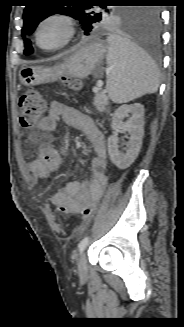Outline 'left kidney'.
<instances>
[{
	"instance_id": "1",
	"label": "left kidney",
	"mask_w": 184,
	"mask_h": 327,
	"mask_svg": "<svg viewBox=\"0 0 184 327\" xmlns=\"http://www.w3.org/2000/svg\"><path fill=\"white\" fill-rule=\"evenodd\" d=\"M131 114L128 121L123 122L122 119ZM144 107L140 103L131 105H121L118 107L112 117L111 128L113 130H124L130 134L128 148L126 153H120L118 149L117 135H111L108 138V153L114 165L119 169L128 168L137 158L144 135Z\"/></svg>"
}]
</instances>
